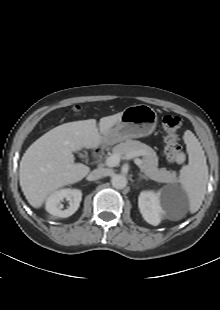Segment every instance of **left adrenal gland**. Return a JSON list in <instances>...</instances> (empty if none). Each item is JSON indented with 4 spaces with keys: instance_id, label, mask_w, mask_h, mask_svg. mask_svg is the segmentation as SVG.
Masks as SVG:
<instances>
[{
    "instance_id": "obj_1",
    "label": "left adrenal gland",
    "mask_w": 220,
    "mask_h": 310,
    "mask_svg": "<svg viewBox=\"0 0 220 310\" xmlns=\"http://www.w3.org/2000/svg\"><path fill=\"white\" fill-rule=\"evenodd\" d=\"M141 179L148 180V178H147L146 176H144V175H142V174H139V180H141Z\"/></svg>"
}]
</instances>
